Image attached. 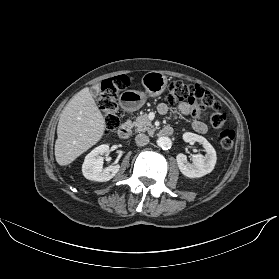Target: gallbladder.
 Wrapping results in <instances>:
<instances>
[{
  "label": "gallbladder",
  "mask_w": 279,
  "mask_h": 279,
  "mask_svg": "<svg viewBox=\"0 0 279 279\" xmlns=\"http://www.w3.org/2000/svg\"><path fill=\"white\" fill-rule=\"evenodd\" d=\"M91 93H92V95H93L95 98H98L99 95H100V89H99V87H98L97 85L93 86V87L91 88Z\"/></svg>",
  "instance_id": "obj_1"
}]
</instances>
